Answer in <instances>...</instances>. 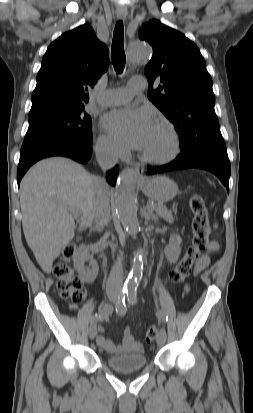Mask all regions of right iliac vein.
<instances>
[{"instance_id":"63e3f726","label":"right iliac vein","mask_w":253,"mask_h":413,"mask_svg":"<svg viewBox=\"0 0 253 413\" xmlns=\"http://www.w3.org/2000/svg\"><path fill=\"white\" fill-rule=\"evenodd\" d=\"M109 299H110V301L115 302L117 300V296L115 294H110ZM88 334H89L90 339H94L96 337V335H97L96 325L92 324L89 327Z\"/></svg>"}]
</instances>
